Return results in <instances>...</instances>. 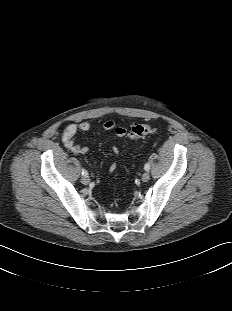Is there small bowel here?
<instances>
[{"mask_svg": "<svg viewBox=\"0 0 232 311\" xmlns=\"http://www.w3.org/2000/svg\"><path fill=\"white\" fill-rule=\"evenodd\" d=\"M91 128V123L88 121H84L81 123H71L67 125L63 134H62V142L64 146L74 154L86 155L88 153V148L86 146H82L75 142V136L78 133L86 132ZM103 129L106 132L113 131L117 136H124L126 130L117 125L114 121H107L103 125ZM113 153L118 154V149L113 148ZM113 165L111 169H114Z\"/></svg>", "mask_w": 232, "mask_h": 311, "instance_id": "c3829d8e", "label": "small bowel"}]
</instances>
